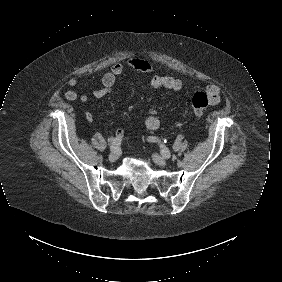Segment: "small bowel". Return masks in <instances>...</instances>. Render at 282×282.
<instances>
[{
	"label": "small bowel",
	"mask_w": 282,
	"mask_h": 282,
	"mask_svg": "<svg viewBox=\"0 0 282 282\" xmlns=\"http://www.w3.org/2000/svg\"><path fill=\"white\" fill-rule=\"evenodd\" d=\"M125 65L134 70L152 74L153 76L150 84L153 89L166 88L174 91H179L183 87V84L179 79L155 73L154 67L144 59L130 58L125 62ZM123 69H124V64L120 62L115 63L111 67V69L104 75L102 80V86L94 89L93 96L95 98H102L107 94L116 92L117 79L122 74ZM76 83H77V79L75 77L70 78L66 83L68 89L65 92V98L68 101H74L78 98L77 92L71 88ZM206 93L209 97V101L211 105H216L220 102L221 96H220V89L218 86L209 85L206 88ZM87 100L88 98L86 96L81 97L82 102H87ZM86 120L89 123L93 122L94 115L92 112L89 111L86 113ZM144 124L148 129L155 130L159 127L160 121L158 117L154 113H152L145 118ZM123 135L124 132L122 129L116 130L115 136L117 138H122Z\"/></svg>",
	"instance_id": "1"
}]
</instances>
